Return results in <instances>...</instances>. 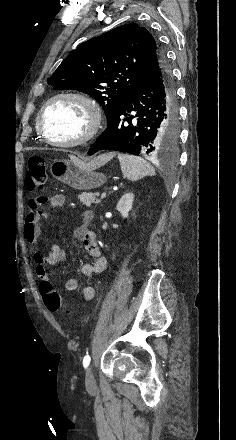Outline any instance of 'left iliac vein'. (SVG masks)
I'll use <instances>...</instances> for the list:
<instances>
[{
    "mask_svg": "<svg viewBox=\"0 0 236 440\" xmlns=\"http://www.w3.org/2000/svg\"><path fill=\"white\" fill-rule=\"evenodd\" d=\"M85 385H86L87 390H93L96 387L94 374H93V370H92V365H90L87 368L86 375H85Z\"/></svg>",
    "mask_w": 236,
    "mask_h": 440,
    "instance_id": "1",
    "label": "left iliac vein"
}]
</instances>
